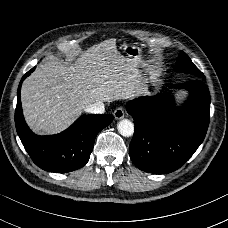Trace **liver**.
I'll use <instances>...</instances> for the list:
<instances>
[{"label":"liver","instance_id":"1","mask_svg":"<svg viewBox=\"0 0 228 228\" xmlns=\"http://www.w3.org/2000/svg\"><path fill=\"white\" fill-rule=\"evenodd\" d=\"M137 61L121 54L111 39L87 50L72 67L46 60L23 83L22 103L28 123L37 131H59L89 105L130 97Z\"/></svg>","mask_w":228,"mask_h":228}]
</instances>
